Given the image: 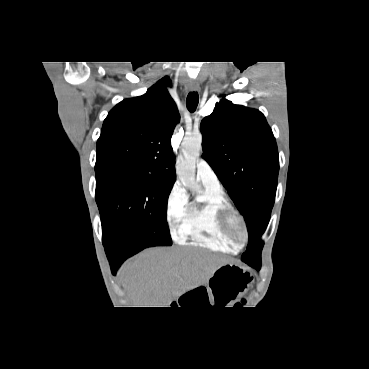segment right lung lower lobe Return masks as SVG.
<instances>
[{"mask_svg": "<svg viewBox=\"0 0 369 369\" xmlns=\"http://www.w3.org/2000/svg\"><path fill=\"white\" fill-rule=\"evenodd\" d=\"M141 250L143 249L136 247L131 242H118L109 246H105V251L113 274L116 273L117 269L125 259Z\"/></svg>", "mask_w": 369, "mask_h": 369, "instance_id": "98d812e1", "label": "right lung lower lobe"}]
</instances>
